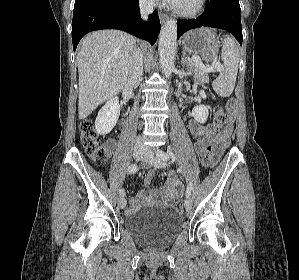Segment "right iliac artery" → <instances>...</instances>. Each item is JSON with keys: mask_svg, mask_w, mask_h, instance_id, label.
I'll return each mask as SVG.
<instances>
[{"mask_svg": "<svg viewBox=\"0 0 299 280\" xmlns=\"http://www.w3.org/2000/svg\"><path fill=\"white\" fill-rule=\"evenodd\" d=\"M137 171H138V166H137L136 164H132V165H130L129 168H128V172H129L130 174L135 173V172H137ZM119 193H120L121 196H125V191H124V190L120 189V190H119Z\"/></svg>", "mask_w": 299, "mask_h": 280, "instance_id": "obj_1", "label": "right iliac artery"}]
</instances>
